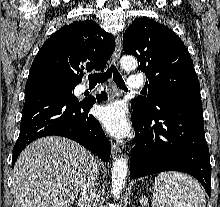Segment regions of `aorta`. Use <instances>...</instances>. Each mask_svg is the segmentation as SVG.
I'll return each mask as SVG.
<instances>
[{
  "label": "aorta",
  "instance_id": "aorta-1",
  "mask_svg": "<svg viewBox=\"0 0 220 207\" xmlns=\"http://www.w3.org/2000/svg\"><path fill=\"white\" fill-rule=\"evenodd\" d=\"M120 63L121 67L125 70H135L138 65L137 60L133 56H123ZM127 171V159L123 156L116 158L111 169V193L116 199L119 198L125 186Z\"/></svg>",
  "mask_w": 220,
  "mask_h": 207
}]
</instances>
